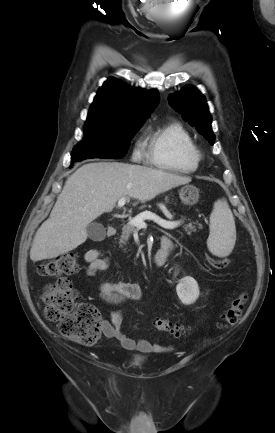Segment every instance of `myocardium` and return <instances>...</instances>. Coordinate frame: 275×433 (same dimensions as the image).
<instances>
[{
	"label": "myocardium",
	"instance_id": "1",
	"mask_svg": "<svg viewBox=\"0 0 275 433\" xmlns=\"http://www.w3.org/2000/svg\"><path fill=\"white\" fill-rule=\"evenodd\" d=\"M197 155H198V158L200 159V157H201V154H200V152H199V151H197Z\"/></svg>",
	"mask_w": 275,
	"mask_h": 433
}]
</instances>
